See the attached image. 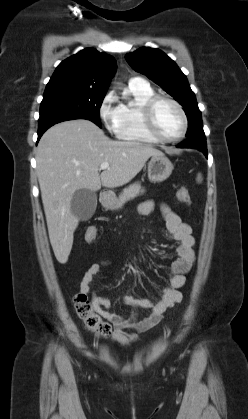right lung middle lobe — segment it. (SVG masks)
I'll return each mask as SVG.
<instances>
[{"label":"right lung middle lobe","instance_id":"1","mask_svg":"<svg viewBox=\"0 0 248 419\" xmlns=\"http://www.w3.org/2000/svg\"><path fill=\"white\" fill-rule=\"evenodd\" d=\"M105 93L78 88H46L40 106V118L60 114L84 116L101 127L99 109Z\"/></svg>","mask_w":248,"mask_h":419}]
</instances>
